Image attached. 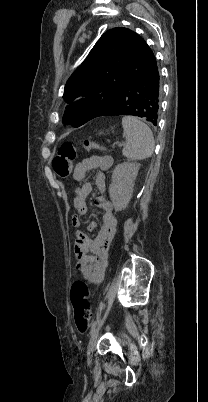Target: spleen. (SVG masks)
Here are the masks:
<instances>
[{"mask_svg": "<svg viewBox=\"0 0 208 402\" xmlns=\"http://www.w3.org/2000/svg\"><path fill=\"white\" fill-rule=\"evenodd\" d=\"M122 126L123 136L126 138V144L122 150L123 156L128 160L151 158L154 152V138L150 128L135 116L122 118Z\"/></svg>", "mask_w": 208, "mask_h": 402, "instance_id": "spleen-1", "label": "spleen"}]
</instances>
